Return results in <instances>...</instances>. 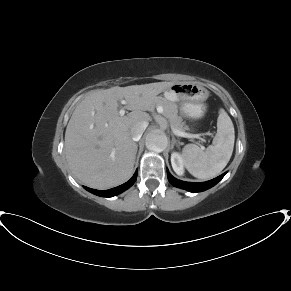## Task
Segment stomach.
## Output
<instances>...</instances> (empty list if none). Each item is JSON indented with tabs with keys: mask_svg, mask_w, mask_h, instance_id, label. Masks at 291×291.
<instances>
[{
	"mask_svg": "<svg viewBox=\"0 0 291 291\" xmlns=\"http://www.w3.org/2000/svg\"><path fill=\"white\" fill-rule=\"evenodd\" d=\"M164 96L172 102H179L183 114L191 119H200L205 115L204 102L209 91L201 85L185 82L173 84L164 91Z\"/></svg>",
	"mask_w": 291,
	"mask_h": 291,
	"instance_id": "0dacf381",
	"label": "stomach"
}]
</instances>
